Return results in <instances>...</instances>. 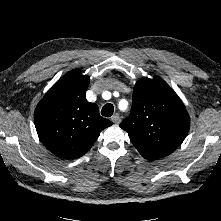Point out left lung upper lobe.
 Instances as JSON below:
<instances>
[{
  "label": "left lung upper lobe",
  "instance_id": "obj_1",
  "mask_svg": "<svg viewBox=\"0 0 221 221\" xmlns=\"http://www.w3.org/2000/svg\"><path fill=\"white\" fill-rule=\"evenodd\" d=\"M132 98L131 114L120 127L136 148L156 158L170 155L189 131L190 118L184 104L157 76L138 80Z\"/></svg>",
  "mask_w": 221,
  "mask_h": 221
}]
</instances>
